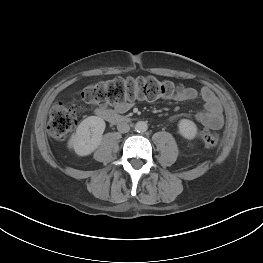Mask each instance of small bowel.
Wrapping results in <instances>:
<instances>
[{
    "label": "small bowel",
    "mask_w": 263,
    "mask_h": 263,
    "mask_svg": "<svg viewBox=\"0 0 263 263\" xmlns=\"http://www.w3.org/2000/svg\"><path fill=\"white\" fill-rule=\"evenodd\" d=\"M200 97L204 103V110L197 112L195 118L201 124L212 129H219L223 125L222 107L216 95L207 87H203L200 91L192 87H187L177 97L179 101H191ZM131 107V102L117 105L114 110L107 108H97V114L101 115L103 111H111L115 113H124Z\"/></svg>",
    "instance_id": "1"
}]
</instances>
